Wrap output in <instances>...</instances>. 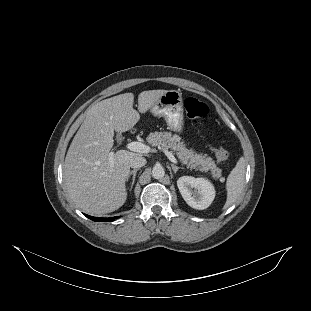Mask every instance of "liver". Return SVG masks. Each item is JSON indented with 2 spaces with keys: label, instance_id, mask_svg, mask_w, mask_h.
<instances>
[{
  "label": "liver",
  "instance_id": "1",
  "mask_svg": "<svg viewBox=\"0 0 311 311\" xmlns=\"http://www.w3.org/2000/svg\"><path fill=\"white\" fill-rule=\"evenodd\" d=\"M167 90L142 91L138 95V110L133 108L134 94L123 93L92 106L68 149L63 179L69 197L83 211L106 214L119 209L126 201L125 182L130 173L129 162L140 153L127 150L109 154L114 145V132L132 129L140 113L150 110Z\"/></svg>",
  "mask_w": 311,
  "mask_h": 311
}]
</instances>
